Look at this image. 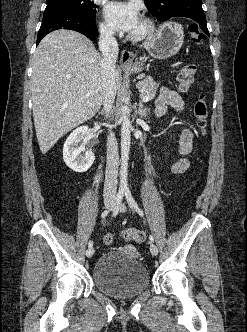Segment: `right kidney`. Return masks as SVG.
Segmentation results:
<instances>
[{"label": "right kidney", "mask_w": 247, "mask_h": 332, "mask_svg": "<svg viewBox=\"0 0 247 332\" xmlns=\"http://www.w3.org/2000/svg\"><path fill=\"white\" fill-rule=\"evenodd\" d=\"M87 134L88 127L80 126L68 136L63 146L64 162L75 172L82 173L87 171L95 160L92 150L82 153L85 148L80 143Z\"/></svg>", "instance_id": "ca27d5eb"}]
</instances>
